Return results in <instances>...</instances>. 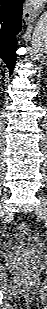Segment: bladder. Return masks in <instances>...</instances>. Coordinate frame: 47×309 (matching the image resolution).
<instances>
[{
  "instance_id": "31cf9c89",
  "label": "bladder",
  "mask_w": 47,
  "mask_h": 309,
  "mask_svg": "<svg viewBox=\"0 0 47 309\" xmlns=\"http://www.w3.org/2000/svg\"><path fill=\"white\" fill-rule=\"evenodd\" d=\"M43 244L41 236L27 228L15 233L8 241V247L18 251H30Z\"/></svg>"
}]
</instances>
